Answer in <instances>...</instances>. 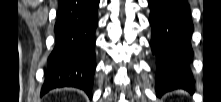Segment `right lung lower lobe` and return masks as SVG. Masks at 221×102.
I'll use <instances>...</instances> for the list:
<instances>
[{"label": "right lung lower lobe", "mask_w": 221, "mask_h": 102, "mask_svg": "<svg viewBox=\"0 0 221 102\" xmlns=\"http://www.w3.org/2000/svg\"><path fill=\"white\" fill-rule=\"evenodd\" d=\"M99 0H61L55 45L48 58L41 95L59 87L82 89L91 98Z\"/></svg>", "instance_id": "obj_1"}]
</instances>
